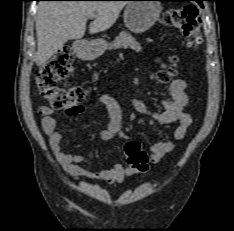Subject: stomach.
Masks as SVG:
<instances>
[{"label":"stomach","instance_id":"stomach-1","mask_svg":"<svg viewBox=\"0 0 234 231\" xmlns=\"http://www.w3.org/2000/svg\"><path fill=\"white\" fill-rule=\"evenodd\" d=\"M162 6L152 0H133L127 3L124 11L125 26L133 33L140 34L150 29L160 17ZM107 49L104 39L80 42L76 47L77 55L84 60H94Z\"/></svg>","mask_w":234,"mask_h":231}]
</instances>
